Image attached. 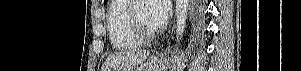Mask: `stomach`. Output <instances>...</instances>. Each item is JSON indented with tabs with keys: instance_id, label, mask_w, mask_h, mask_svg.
Instances as JSON below:
<instances>
[{
	"instance_id": "1",
	"label": "stomach",
	"mask_w": 301,
	"mask_h": 71,
	"mask_svg": "<svg viewBox=\"0 0 301 71\" xmlns=\"http://www.w3.org/2000/svg\"><path fill=\"white\" fill-rule=\"evenodd\" d=\"M121 71H166V60L158 56H151L140 66L124 68Z\"/></svg>"
}]
</instances>
